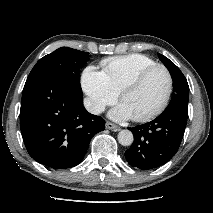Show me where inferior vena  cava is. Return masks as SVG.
<instances>
[{
	"label": "inferior vena cava",
	"instance_id": "1",
	"mask_svg": "<svg viewBox=\"0 0 213 213\" xmlns=\"http://www.w3.org/2000/svg\"><path fill=\"white\" fill-rule=\"evenodd\" d=\"M84 106L88 112L96 115L102 113L105 110L104 105L96 101H92L88 98L84 99Z\"/></svg>",
	"mask_w": 213,
	"mask_h": 213
}]
</instances>
